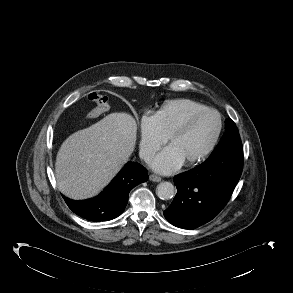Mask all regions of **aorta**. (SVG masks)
Wrapping results in <instances>:
<instances>
[{
  "instance_id": "1",
  "label": "aorta",
  "mask_w": 293,
  "mask_h": 293,
  "mask_svg": "<svg viewBox=\"0 0 293 293\" xmlns=\"http://www.w3.org/2000/svg\"><path fill=\"white\" fill-rule=\"evenodd\" d=\"M156 194L162 200H169L175 195V187L170 182H161L157 185Z\"/></svg>"
}]
</instances>
